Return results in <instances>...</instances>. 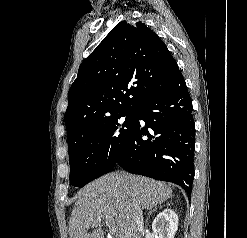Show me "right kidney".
Masks as SVG:
<instances>
[{"instance_id":"ca27d5eb","label":"right kidney","mask_w":247,"mask_h":238,"mask_svg":"<svg viewBox=\"0 0 247 238\" xmlns=\"http://www.w3.org/2000/svg\"><path fill=\"white\" fill-rule=\"evenodd\" d=\"M178 229V215L173 209H164L152 223V230L158 235L157 238H174Z\"/></svg>"}]
</instances>
